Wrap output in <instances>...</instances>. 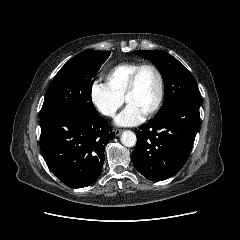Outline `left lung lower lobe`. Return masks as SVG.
Returning a JSON list of instances; mask_svg holds the SVG:
<instances>
[{
  "label": "left lung lower lobe",
  "mask_w": 240,
  "mask_h": 240,
  "mask_svg": "<svg viewBox=\"0 0 240 240\" xmlns=\"http://www.w3.org/2000/svg\"><path fill=\"white\" fill-rule=\"evenodd\" d=\"M200 102L194 99L177 101L136 131L132 161L145 178L162 181L182 169L198 131Z\"/></svg>",
  "instance_id": "obj_1"
}]
</instances>
